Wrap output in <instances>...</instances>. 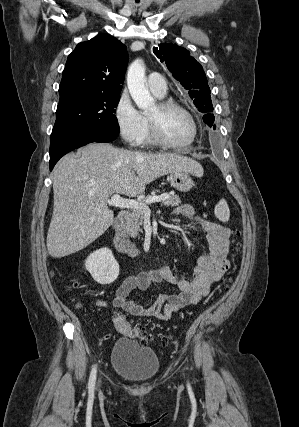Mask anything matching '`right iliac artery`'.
<instances>
[{
  "instance_id": "82829eb1",
  "label": "right iliac artery",
  "mask_w": 299,
  "mask_h": 427,
  "mask_svg": "<svg viewBox=\"0 0 299 427\" xmlns=\"http://www.w3.org/2000/svg\"><path fill=\"white\" fill-rule=\"evenodd\" d=\"M96 372L97 371H96V365H95L91 371L90 378H89V384H88L89 391L94 390L95 381H96Z\"/></svg>"
}]
</instances>
